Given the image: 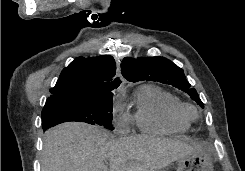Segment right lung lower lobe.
<instances>
[{
  "mask_svg": "<svg viewBox=\"0 0 245 171\" xmlns=\"http://www.w3.org/2000/svg\"><path fill=\"white\" fill-rule=\"evenodd\" d=\"M48 128H44L43 130L45 131V130H47Z\"/></svg>",
  "mask_w": 245,
  "mask_h": 171,
  "instance_id": "1",
  "label": "right lung lower lobe"
}]
</instances>
